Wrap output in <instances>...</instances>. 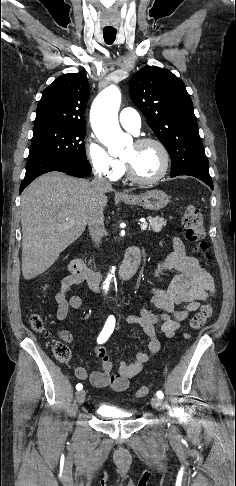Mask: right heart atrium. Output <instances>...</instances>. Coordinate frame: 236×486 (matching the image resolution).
Instances as JSON below:
<instances>
[{
    "mask_svg": "<svg viewBox=\"0 0 236 486\" xmlns=\"http://www.w3.org/2000/svg\"><path fill=\"white\" fill-rule=\"evenodd\" d=\"M85 152L96 174L110 181H116L122 176L124 172L123 163L110 155L105 146L94 136L87 139Z\"/></svg>",
    "mask_w": 236,
    "mask_h": 486,
    "instance_id": "obj_1",
    "label": "right heart atrium"
}]
</instances>
